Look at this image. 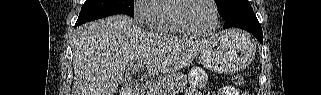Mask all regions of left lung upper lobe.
<instances>
[{
    "label": "left lung upper lobe",
    "mask_w": 321,
    "mask_h": 95,
    "mask_svg": "<svg viewBox=\"0 0 321 95\" xmlns=\"http://www.w3.org/2000/svg\"><path fill=\"white\" fill-rule=\"evenodd\" d=\"M215 3L223 20L237 11L251 7L248 0H215Z\"/></svg>",
    "instance_id": "1"
}]
</instances>
